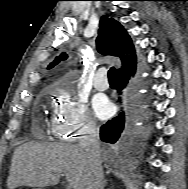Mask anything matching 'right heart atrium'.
Here are the masks:
<instances>
[{
	"mask_svg": "<svg viewBox=\"0 0 188 189\" xmlns=\"http://www.w3.org/2000/svg\"><path fill=\"white\" fill-rule=\"evenodd\" d=\"M96 123L86 103L66 89L58 90L52 119V131L59 138L75 141L91 135Z\"/></svg>",
	"mask_w": 188,
	"mask_h": 189,
	"instance_id": "d8ad5b80",
	"label": "right heart atrium"
}]
</instances>
